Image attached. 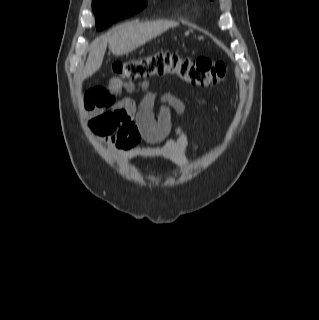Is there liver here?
<instances>
[{"label": "liver", "instance_id": "1", "mask_svg": "<svg viewBox=\"0 0 319 320\" xmlns=\"http://www.w3.org/2000/svg\"><path fill=\"white\" fill-rule=\"evenodd\" d=\"M176 26L178 23L174 21L159 20L146 23L133 21L113 28L106 35L96 38L91 43L82 79L93 75L100 69L107 45L112 54L124 55Z\"/></svg>", "mask_w": 319, "mask_h": 320}]
</instances>
